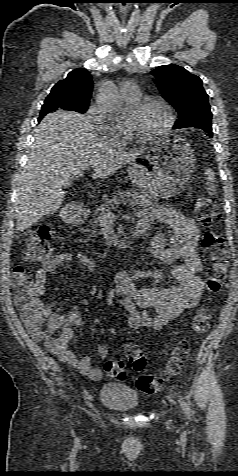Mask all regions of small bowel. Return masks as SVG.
Segmentation results:
<instances>
[{
	"mask_svg": "<svg viewBox=\"0 0 238 476\" xmlns=\"http://www.w3.org/2000/svg\"><path fill=\"white\" fill-rule=\"evenodd\" d=\"M138 230L146 233L154 230L150 250L156 259L172 263L181 260L182 263L173 266L169 272L150 269L121 270L115 275V285L108 292L107 304L117 305L126 312L124 331L136 328L160 330L168 322L180 316L184 311L195 308L205 289V283L199 275L202 262L197 253L200 231L193 220L181 212L167 206H158L152 210L138 212ZM166 226L169 233L163 228ZM77 259L86 272H93L95 261L83 252L75 254L61 252L36 271L35 286L39 296L47 294V279L49 274L59 267ZM148 279L151 286L137 287L136 281ZM173 280V285H166ZM48 327L51 330L68 329L71 337V327L81 326L83 319L79 307L74 305L66 314L53 313L46 307ZM108 333L115 335L114 329ZM59 348L53 350L62 361L67 362L81 374L92 380L102 378V368L92 366L89 357L77 356L68 347L69 339ZM98 355L106 359L109 350L104 344L97 346Z\"/></svg>",
	"mask_w": 238,
	"mask_h": 476,
	"instance_id": "1",
	"label": "small bowel"
}]
</instances>
